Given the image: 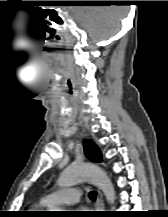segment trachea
I'll use <instances>...</instances> for the list:
<instances>
[{"label": "trachea", "mask_w": 168, "mask_h": 217, "mask_svg": "<svg viewBox=\"0 0 168 217\" xmlns=\"http://www.w3.org/2000/svg\"><path fill=\"white\" fill-rule=\"evenodd\" d=\"M88 196H89L90 200L95 201L97 193H96V191H90Z\"/></svg>", "instance_id": "3493384b"}]
</instances>
